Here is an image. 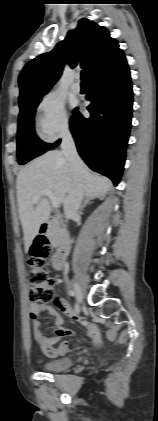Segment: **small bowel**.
Returning <instances> with one entry per match:
<instances>
[{
    "instance_id": "obj_1",
    "label": "small bowel",
    "mask_w": 158,
    "mask_h": 421,
    "mask_svg": "<svg viewBox=\"0 0 158 421\" xmlns=\"http://www.w3.org/2000/svg\"><path fill=\"white\" fill-rule=\"evenodd\" d=\"M59 311L73 318L80 325L85 334L98 339L96 327L80 316L67 301L56 298L54 300V306L45 304L31 305L32 314L38 315L48 313L52 318L53 327L55 328L53 335H46L43 331L42 323L38 319H33L34 339L47 356L56 357L63 355L67 353L71 347L69 340H65L57 346V343L63 336L71 337L73 335V332L70 330L59 329V326L62 324V316Z\"/></svg>"
}]
</instances>
